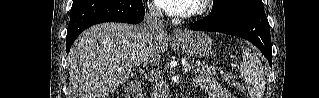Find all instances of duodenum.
I'll list each match as a JSON object with an SVG mask.
<instances>
[{"label":"duodenum","instance_id":"410a0bca","mask_svg":"<svg viewBox=\"0 0 319 98\" xmlns=\"http://www.w3.org/2000/svg\"><path fill=\"white\" fill-rule=\"evenodd\" d=\"M127 98H143L140 94V84L137 81H132L128 84L126 88Z\"/></svg>","mask_w":319,"mask_h":98}]
</instances>
